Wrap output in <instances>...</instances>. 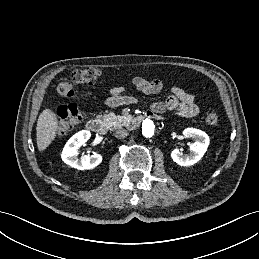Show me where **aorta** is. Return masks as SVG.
Returning <instances> with one entry per match:
<instances>
[{
    "mask_svg": "<svg viewBox=\"0 0 259 259\" xmlns=\"http://www.w3.org/2000/svg\"><path fill=\"white\" fill-rule=\"evenodd\" d=\"M154 131H155V125L154 122L150 119H145L142 122V134L146 137V138H150L154 135Z\"/></svg>",
    "mask_w": 259,
    "mask_h": 259,
    "instance_id": "aorta-1",
    "label": "aorta"
}]
</instances>
